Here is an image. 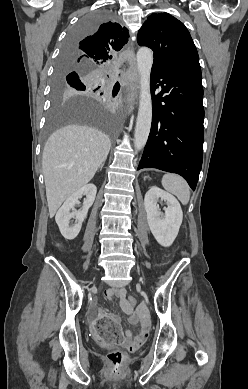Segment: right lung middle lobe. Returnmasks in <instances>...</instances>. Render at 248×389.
I'll return each mask as SVG.
<instances>
[{
	"instance_id": "right-lung-middle-lobe-1",
	"label": "right lung middle lobe",
	"mask_w": 248,
	"mask_h": 389,
	"mask_svg": "<svg viewBox=\"0 0 248 389\" xmlns=\"http://www.w3.org/2000/svg\"><path fill=\"white\" fill-rule=\"evenodd\" d=\"M110 19L111 13L107 10H99L85 15L79 24L70 32L65 41L63 51L69 49L74 42L82 39L86 35L92 34L100 24L108 22ZM62 65L63 59L60 58L57 77L54 83L52 107L49 114L46 136H49L58 127L77 123L95 125L113 137L114 125L112 118L97 105L69 96V93L73 89L65 83L66 77L68 84L76 90L95 92L100 87L94 90L91 87L93 78L91 73L93 70L73 64ZM71 71L77 73L78 76L73 78L72 73L74 72ZM117 93L113 89V96Z\"/></svg>"
}]
</instances>
